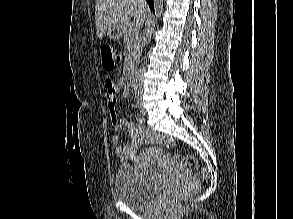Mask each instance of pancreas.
<instances>
[{
	"label": "pancreas",
	"mask_w": 293,
	"mask_h": 219,
	"mask_svg": "<svg viewBox=\"0 0 293 219\" xmlns=\"http://www.w3.org/2000/svg\"><path fill=\"white\" fill-rule=\"evenodd\" d=\"M124 43L127 48L125 58V70L134 67L140 53L141 34L138 29L129 28L124 36Z\"/></svg>",
	"instance_id": "pancreas-1"
}]
</instances>
